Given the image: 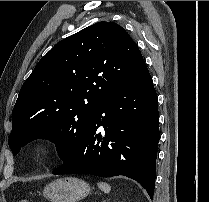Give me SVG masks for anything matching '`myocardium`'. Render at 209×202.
Returning a JSON list of instances; mask_svg holds the SVG:
<instances>
[{"label":"myocardium","mask_w":209,"mask_h":202,"mask_svg":"<svg viewBox=\"0 0 209 202\" xmlns=\"http://www.w3.org/2000/svg\"><path fill=\"white\" fill-rule=\"evenodd\" d=\"M48 144L46 141H39L33 147V156L37 159L44 157L47 151Z\"/></svg>","instance_id":"obj_1"}]
</instances>
